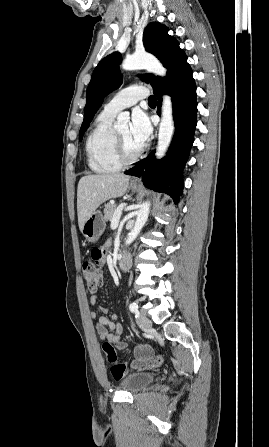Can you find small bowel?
<instances>
[{"instance_id": "small-bowel-1", "label": "small bowel", "mask_w": 269, "mask_h": 447, "mask_svg": "<svg viewBox=\"0 0 269 447\" xmlns=\"http://www.w3.org/2000/svg\"><path fill=\"white\" fill-rule=\"evenodd\" d=\"M90 302L95 305L98 303V298L95 296L91 297ZM100 310L103 313H107L108 308L105 306H101ZM90 316L97 319V330L102 340L114 343L119 349H125L127 347L126 343L120 337V334L122 332V325L118 322L117 315L112 314L110 316V319H108L106 316L98 315L96 311H91ZM150 357L157 356H135V362L149 361Z\"/></svg>"}]
</instances>
